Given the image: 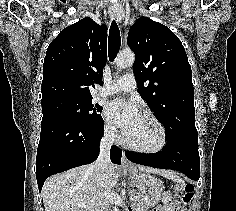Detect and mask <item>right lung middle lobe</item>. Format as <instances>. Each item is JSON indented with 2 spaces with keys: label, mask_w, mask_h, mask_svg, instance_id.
I'll return each instance as SVG.
<instances>
[{
  "label": "right lung middle lobe",
  "mask_w": 236,
  "mask_h": 211,
  "mask_svg": "<svg viewBox=\"0 0 236 211\" xmlns=\"http://www.w3.org/2000/svg\"><path fill=\"white\" fill-rule=\"evenodd\" d=\"M92 98H58L42 104V121L46 119H64L88 126H98L103 119L97 112L99 105L91 103Z\"/></svg>",
  "instance_id": "right-lung-middle-lobe-1"
}]
</instances>
